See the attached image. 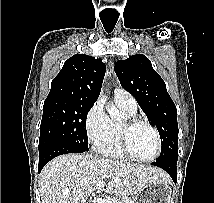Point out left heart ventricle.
<instances>
[{"label": "left heart ventricle", "mask_w": 214, "mask_h": 203, "mask_svg": "<svg viewBox=\"0 0 214 203\" xmlns=\"http://www.w3.org/2000/svg\"><path fill=\"white\" fill-rule=\"evenodd\" d=\"M131 152L138 158L147 159L156 152V138L153 131L145 126L134 127L129 136Z\"/></svg>", "instance_id": "b2bd125f"}]
</instances>
